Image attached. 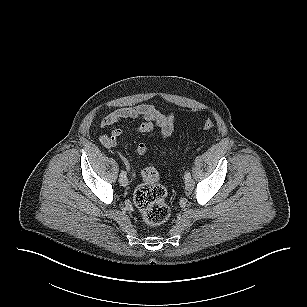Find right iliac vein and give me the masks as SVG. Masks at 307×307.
<instances>
[{
	"instance_id": "1",
	"label": "right iliac vein",
	"mask_w": 307,
	"mask_h": 307,
	"mask_svg": "<svg viewBox=\"0 0 307 307\" xmlns=\"http://www.w3.org/2000/svg\"><path fill=\"white\" fill-rule=\"evenodd\" d=\"M119 182L122 186L128 185V178L126 176L120 177Z\"/></svg>"
}]
</instances>
